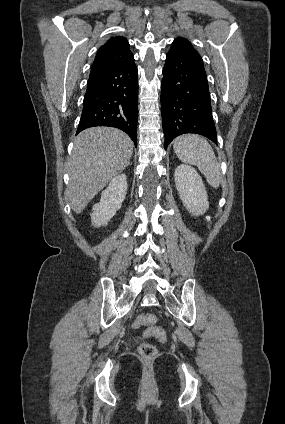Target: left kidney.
Masks as SVG:
<instances>
[{
	"label": "left kidney",
	"mask_w": 285,
	"mask_h": 424,
	"mask_svg": "<svg viewBox=\"0 0 285 424\" xmlns=\"http://www.w3.org/2000/svg\"><path fill=\"white\" fill-rule=\"evenodd\" d=\"M175 185L187 210L195 216L209 208L208 195L198 172L191 166L179 165L175 170Z\"/></svg>",
	"instance_id": "left-kidney-1"
}]
</instances>
